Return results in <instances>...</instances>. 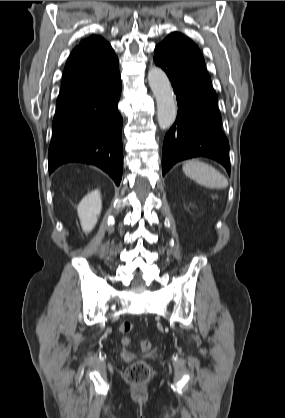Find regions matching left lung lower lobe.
I'll return each instance as SVG.
<instances>
[{"instance_id":"0a47b994","label":"left lung lower lobe","mask_w":285,"mask_h":418,"mask_svg":"<svg viewBox=\"0 0 285 418\" xmlns=\"http://www.w3.org/2000/svg\"><path fill=\"white\" fill-rule=\"evenodd\" d=\"M154 61L168 75L179 106L176 121L164 138L163 175L175 163L198 156L216 160L230 173L218 96L201 53L187 38L170 36L156 46Z\"/></svg>"}]
</instances>
